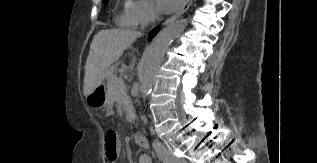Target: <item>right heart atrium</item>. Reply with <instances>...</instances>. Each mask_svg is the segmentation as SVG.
Wrapping results in <instances>:
<instances>
[{"label":"right heart atrium","mask_w":317,"mask_h":163,"mask_svg":"<svg viewBox=\"0 0 317 163\" xmlns=\"http://www.w3.org/2000/svg\"><path fill=\"white\" fill-rule=\"evenodd\" d=\"M125 13L133 26H146L156 19V11L149 0H129Z\"/></svg>","instance_id":"1"}]
</instances>
